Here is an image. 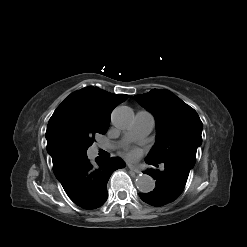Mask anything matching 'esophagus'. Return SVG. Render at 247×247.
I'll return each instance as SVG.
<instances>
[{
    "mask_svg": "<svg viewBox=\"0 0 247 247\" xmlns=\"http://www.w3.org/2000/svg\"><path fill=\"white\" fill-rule=\"evenodd\" d=\"M127 166L130 170L134 171L135 173H140L139 169L136 166L132 164H127Z\"/></svg>",
    "mask_w": 247,
    "mask_h": 247,
    "instance_id": "obj_1",
    "label": "esophagus"
}]
</instances>
